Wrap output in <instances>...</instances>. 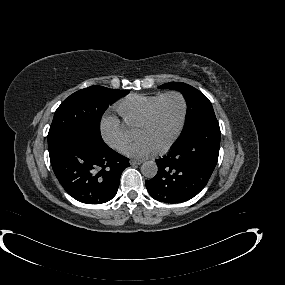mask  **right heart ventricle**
<instances>
[{"label": "right heart ventricle", "instance_id": "1", "mask_svg": "<svg viewBox=\"0 0 285 285\" xmlns=\"http://www.w3.org/2000/svg\"><path fill=\"white\" fill-rule=\"evenodd\" d=\"M162 95H131L118 104V113L128 127L138 128Z\"/></svg>", "mask_w": 285, "mask_h": 285}]
</instances>
